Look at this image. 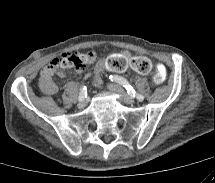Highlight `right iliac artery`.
<instances>
[{
  "instance_id": "82829eb1",
  "label": "right iliac artery",
  "mask_w": 215,
  "mask_h": 183,
  "mask_svg": "<svg viewBox=\"0 0 215 183\" xmlns=\"http://www.w3.org/2000/svg\"><path fill=\"white\" fill-rule=\"evenodd\" d=\"M88 76V75H87ZM87 96L86 86L81 87L78 100L81 101Z\"/></svg>"
}]
</instances>
